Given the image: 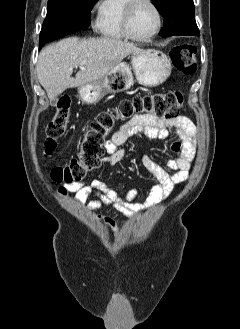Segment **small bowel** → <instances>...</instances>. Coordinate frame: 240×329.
<instances>
[{"label": "small bowel", "instance_id": "c3829d8e", "mask_svg": "<svg viewBox=\"0 0 240 329\" xmlns=\"http://www.w3.org/2000/svg\"><path fill=\"white\" fill-rule=\"evenodd\" d=\"M172 132L176 134V138L170 145L174 157L167 161L168 170L147 155L141 157L142 164L154 179L144 203L136 202L137 190L120 195L99 179L63 184L58 189L59 194L66 197L69 193H75L76 201L80 204L86 203L90 197H93L87 202L89 210L103 208L119 211L128 216L154 206L166 199L189 175L196 150L197 133L192 121L185 116L168 120L150 114L138 115L123 123L104 147L105 156L102 158V163L108 168L127 157L128 151L122 148V145L130 137L142 135L152 140H166L170 138ZM98 218L116 234L117 224L113 218L103 215H98Z\"/></svg>", "mask_w": 240, "mask_h": 329}]
</instances>
